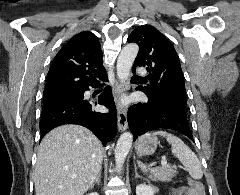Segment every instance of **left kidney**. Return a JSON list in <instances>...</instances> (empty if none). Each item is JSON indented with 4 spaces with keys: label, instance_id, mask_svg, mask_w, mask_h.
I'll return each instance as SVG.
<instances>
[{
    "label": "left kidney",
    "instance_id": "obj_1",
    "mask_svg": "<svg viewBox=\"0 0 240 195\" xmlns=\"http://www.w3.org/2000/svg\"><path fill=\"white\" fill-rule=\"evenodd\" d=\"M157 187H152V185H146V183H140L136 185V195H154Z\"/></svg>",
    "mask_w": 240,
    "mask_h": 195
}]
</instances>
